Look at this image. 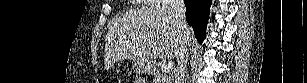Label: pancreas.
I'll use <instances>...</instances> for the list:
<instances>
[{
  "label": "pancreas",
  "instance_id": "1",
  "mask_svg": "<svg viewBox=\"0 0 307 83\" xmlns=\"http://www.w3.org/2000/svg\"><path fill=\"white\" fill-rule=\"evenodd\" d=\"M154 83H169V78L165 73H156Z\"/></svg>",
  "mask_w": 307,
  "mask_h": 83
}]
</instances>
